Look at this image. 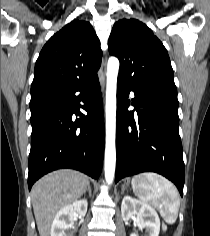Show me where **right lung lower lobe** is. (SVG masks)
Masks as SVG:
<instances>
[{
	"instance_id": "98d812e1",
	"label": "right lung lower lobe",
	"mask_w": 210,
	"mask_h": 236,
	"mask_svg": "<svg viewBox=\"0 0 210 236\" xmlns=\"http://www.w3.org/2000/svg\"><path fill=\"white\" fill-rule=\"evenodd\" d=\"M79 108L87 114H82ZM30 109L29 190L40 177L61 168L76 169L98 179L105 140L103 102L97 74ZM73 114L80 118L73 119Z\"/></svg>"
}]
</instances>
